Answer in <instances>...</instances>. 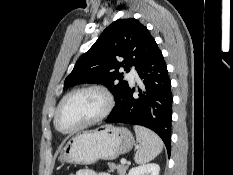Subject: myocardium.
<instances>
[{
	"instance_id": "f54148a6",
	"label": "myocardium",
	"mask_w": 233,
	"mask_h": 175,
	"mask_svg": "<svg viewBox=\"0 0 233 175\" xmlns=\"http://www.w3.org/2000/svg\"><path fill=\"white\" fill-rule=\"evenodd\" d=\"M86 91H93V92L99 93L105 101L104 108L102 109V111L98 115H96L92 119L82 123L81 125L77 126L76 128H73L71 130H62L58 125V115H59V112H60V109H61L63 103L72 95H74L76 93H80V92H86ZM113 107H114V99H113L112 95L110 94V92L106 88L99 86V85H87V86L78 87V88H75V89L69 91L67 94H65L62 97V99L60 100V102L58 103L56 110H55V114H54V126L59 132L64 133V134L75 133V132H78V131L92 125V124H95V123L100 122L103 119H105L110 114Z\"/></svg>"
}]
</instances>
